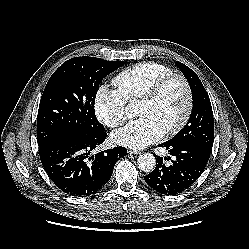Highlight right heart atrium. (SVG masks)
Listing matches in <instances>:
<instances>
[{
	"label": "right heart atrium",
	"instance_id": "d8ad5b80",
	"mask_svg": "<svg viewBox=\"0 0 249 249\" xmlns=\"http://www.w3.org/2000/svg\"><path fill=\"white\" fill-rule=\"evenodd\" d=\"M126 102L116 90L101 85L95 94L93 109L97 119L104 125L115 128L126 120Z\"/></svg>",
	"mask_w": 249,
	"mask_h": 249
}]
</instances>
